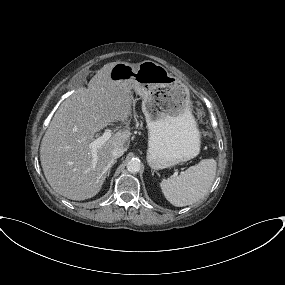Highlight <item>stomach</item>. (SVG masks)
<instances>
[{
  "label": "stomach",
  "mask_w": 285,
  "mask_h": 285,
  "mask_svg": "<svg viewBox=\"0 0 285 285\" xmlns=\"http://www.w3.org/2000/svg\"><path fill=\"white\" fill-rule=\"evenodd\" d=\"M114 82L128 83L142 98L148 128L147 161L152 170L186 162L199 154L200 132L192 114L188 88L162 65L116 63Z\"/></svg>",
  "instance_id": "0dacf381"
}]
</instances>
